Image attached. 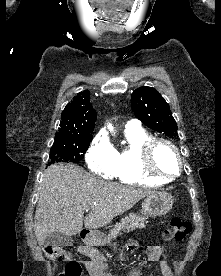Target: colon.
I'll return each mask as SVG.
<instances>
[{
	"instance_id": "1",
	"label": "colon",
	"mask_w": 221,
	"mask_h": 276,
	"mask_svg": "<svg viewBox=\"0 0 221 276\" xmlns=\"http://www.w3.org/2000/svg\"><path fill=\"white\" fill-rule=\"evenodd\" d=\"M192 226L189 222L181 218L174 217L170 220L168 228L163 233V238L167 241H182L190 232ZM44 253L52 260L67 262L65 270L59 276H79L80 265L72 259L71 255L61 246L45 245Z\"/></svg>"
}]
</instances>
